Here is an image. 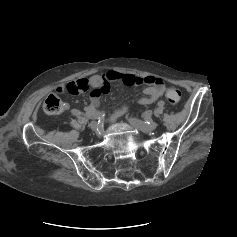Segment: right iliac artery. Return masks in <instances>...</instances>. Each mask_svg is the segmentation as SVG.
I'll return each instance as SVG.
<instances>
[{"label": "right iliac artery", "mask_w": 237, "mask_h": 237, "mask_svg": "<svg viewBox=\"0 0 237 237\" xmlns=\"http://www.w3.org/2000/svg\"><path fill=\"white\" fill-rule=\"evenodd\" d=\"M71 114L74 115V116H81V115H83V113L81 111L77 110V109H72L71 110ZM85 115L90 117V118H93V119H98L100 121L101 119L104 118L105 113L103 111H100V112H96L93 115H90V114H87V113Z\"/></svg>", "instance_id": "1"}]
</instances>
